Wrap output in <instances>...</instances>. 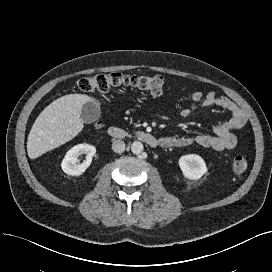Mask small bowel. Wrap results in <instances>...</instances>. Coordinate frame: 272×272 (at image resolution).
Segmentation results:
<instances>
[{
    "mask_svg": "<svg viewBox=\"0 0 272 272\" xmlns=\"http://www.w3.org/2000/svg\"><path fill=\"white\" fill-rule=\"evenodd\" d=\"M220 107L226 110L230 118L215 126L213 134L202 133L195 136H164L159 139L160 145L164 148L185 147L192 144L214 150L233 149L237 145V137L234 130L241 129L247 123V115L232 100L225 96L217 95L214 92L203 94L201 91H194L187 107L180 111L182 118H188L196 108Z\"/></svg>",
    "mask_w": 272,
    "mask_h": 272,
    "instance_id": "obj_1",
    "label": "small bowel"
}]
</instances>
